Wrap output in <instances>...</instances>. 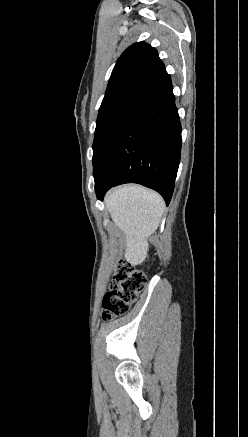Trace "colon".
Listing matches in <instances>:
<instances>
[{
  "label": "colon",
  "instance_id": "colon-1",
  "mask_svg": "<svg viewBox=\"0 0 248 437\" xmlns=\"http://www.w3.org/2000/svg\"><path fill=\"white\" fill-rule=\"evenodd\" d=\"M144 284L141 270L127 262L118 264L103 299V320L110 321L126 313L143 291Z\"/></svg>",
  "mask_w": 248,
  "mask_h": 437
}]
</instances>
